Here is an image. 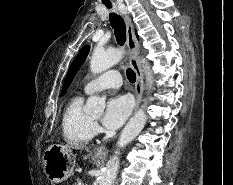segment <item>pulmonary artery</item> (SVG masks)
Segmentation results:
<instances>
[{
    "label": "pulmonary artery",
    "instance_id": "1",
    "mask_svg": "<svg viewBox=\"0 0 233 185\" xmlns=\"http://www.w3.org/2000/svg\"><path fill=\"white\" fill-rule=\"evenodd\" d=\"M121 81L122 77L118 70H108L88 81L84 86V93L91 94L108 88H118Z\"/></svg>",
    "mask_w": 233,
    "mask_h": 185
}]
</instances>
